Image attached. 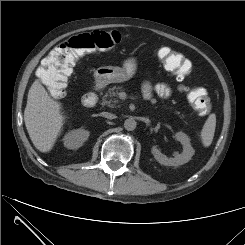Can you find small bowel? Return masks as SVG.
Here are the masks:
<instances>
[{"label":"small bowel","mask_w":245,"mask_h":245,"mask_svg":"<svg viewBox=\"0 0 245 245\" xmlns=\"http://www.w3.org/2000/svg\"><path fill=\"white\" fill-rule=\"evenodd\" d=\"M165 51H170L168 48H163L160 50L159 52V56L161 57V54ZM188 65H189V71L191 70V65L190 62L188 60H186ZM178 91L180 92H184L186 90V87L183 84H179L177 86ZM142 91H143V95L146 99H150L152 97V93L153 91H155L159 96L163 97V98H168L171 96L172 94V89L166 85V84H157L155 86H153L151 83L145 81L142 84Z\"/></svg>","instance_id":"obj_1"}]
</instances>
